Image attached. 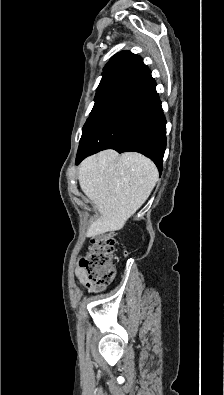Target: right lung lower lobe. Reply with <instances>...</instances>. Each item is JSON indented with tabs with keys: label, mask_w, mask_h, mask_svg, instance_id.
<instances>
[{
	"label": "right lung lower lobe",
	"mask_w": 224,
	"mask_h": 395,
	"mask_svg": "<svg viewBox=\"0 0 224 395\" xmlns=\"http://www.w3.org/2000/svg\"><path fill=\"white\" fill-rule=\"evenodd\" d=\"M166 119L156 83L141 57L135 55L116 79L83 128L76 164L104 149L139 152L162 171Z\"/></svg>",
	"instance_id": "obj_1"
}]
</instances>
